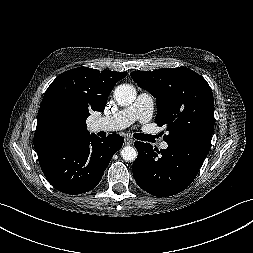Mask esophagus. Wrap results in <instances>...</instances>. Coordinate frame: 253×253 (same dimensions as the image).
Here are the masks:
<instances>
[{
	"instance_id": "1",
	"label": "esophagus",
	"mask_w": 253,
	"mask_h": 253,
	"mask_svg": "<svg viewBox=\"0 0 253 253\" xmlns=\"http://www.w3.org/2000/svg\"><path fill=\"white\" fill-rule=\"evenodd\" d=\"M124 144H125V145H132V144H133V140L130 139V138H128V137H126V138L124 139Z\"/></svg>"
}]
</instances>
